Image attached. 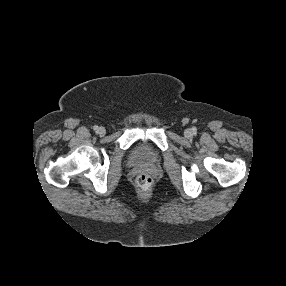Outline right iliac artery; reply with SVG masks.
I'll use <instances>...</instances> for the list:
<instances>
[{
  "mask_svg": "<svg viewBox=\"0 0 286 286\" xmlns=\"http://www.w3.org/2000/svg\"><path fill=\"white\" fill-rule=\"evenodd\" d=\"M93 130H94V131H97V130H98V126H96V125L93 126Z\"/></svg>",
  "mask_w": 286,
  "mask_h": 286,
  "instance_id": "right-iliac-artery-1",
  "label": "right iliac artery"
}]
</instances>
